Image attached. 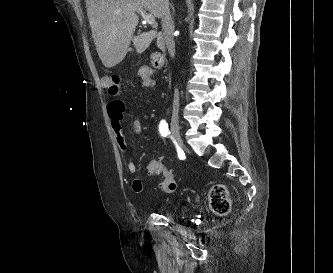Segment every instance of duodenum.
Listing matches in <instances>:
<instances>
[{
  "label": "duodenum",
  "instance_id": "410a0bca",
  "mask_svg": "<svg viewBox=\"0 0 333 273\" xmlns=\"http://www.w3.org/2000/svg\"><path fill=\"white\" fill-rule=\"evenodd\" d=\"M156 38H157L158 45L160 46L161 49L168 48L169 43H168L166 37L161 32L157 33Z\"/></svg>",
  "mask_w": 333,
  "mask_h": 273
}]
</instances>
